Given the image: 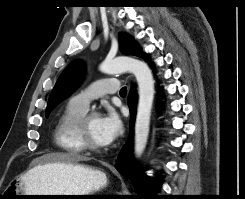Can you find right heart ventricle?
<instances>
[{"instance_id": "1", "label": "right heart ventricle", "mask_w": 245, "mask_h": 199, "mask_svg": "<svg viewBox=\"0 0 245 199\" xmlns=\"http://www.w3.org/2000/svg\"><path fill=\"white\" fill-rule=\"evenodd\" d=\"M86 111L68 103L61 113L54 130L55 142L59 148L70 155L85 151L76 136V126Z\"/></svg>"}]
</instances>
